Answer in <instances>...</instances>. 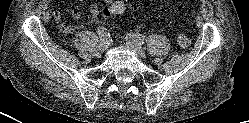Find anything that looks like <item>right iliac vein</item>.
<instances>
[{
    "mask_svg": "<svg viewBox=\"0 0 249 123\" xmlns=\"http://www.w3.org/2000/svg\"><path fill=\"white\" fill-rule=\"evenodd\" d=\"M108 48H109V44L107 42H101V44H100L101 51L104 52V51L108 50Z\"/></svg>",
    "mask_w": 249,
    "mask_h": 123,
    "instance_id": "right-iliac-vein-1",
    "label": "right iliac vein"
}]
</instances>
